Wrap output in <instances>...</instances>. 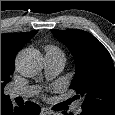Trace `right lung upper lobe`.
Listing matches in <instances>:
<instances>
[{"label": "right lung upper lobe", "mask_w": 115, "mask_h": 115, "mask_svg": "<svg viewBox=\"0 0 115 115\" xmlns=\"http://www.w3.org/2000/svg\"><path fill=\"white\" fill-rule=\"evenodd\" d=\"M36 33L37 31L1 34V103L9 100L3 89L11 80L16 54Z\"/></svg>", "instance_id": "right-lung-upper-lobe-1"}]
</instances>
